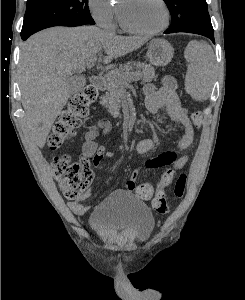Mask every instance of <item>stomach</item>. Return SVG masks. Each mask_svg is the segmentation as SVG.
<instances>
[{"label":"stomach","instance_id":"1","mask_svg":"<svg viewBox=\"0 0 245 300\" xmlns=\"http://www.w3.org/2000/svg\"><path fill=\"white\" fill-rule=\"evenodd\" d=\"M174 49L164 39H154L149 43L147 57L152 65L163 67L172 59Z\"/></svg>","mask_w":245,"mask_h":300}]
</instances>
